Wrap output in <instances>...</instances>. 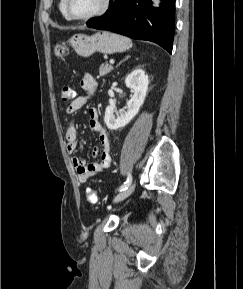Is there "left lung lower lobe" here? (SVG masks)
Here are the masks:
<instances>
[{
  "label": "left lung lower lobe",
  "instance_id": "1",
  "mask_svg": "<svg viewBox=\"0 0 243 289\" xmlns=\"http://www.w3.org/2000/svg\"><path fill=\"white\" fill-rule=\"evenodd\" d=\"M175 1L162 0L159 8H153L151 0H110L106 13L87 21L86 25L148 40L171 53L175 33Z\"/></svg>",
  "mask_w": 243,
  "mask_h": 289
}]
</instances>
